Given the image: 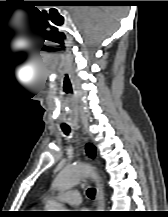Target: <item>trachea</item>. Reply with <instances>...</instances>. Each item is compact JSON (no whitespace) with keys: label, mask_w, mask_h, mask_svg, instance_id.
<instances>
[{"label":"trachea","mask_w":168,"mask_h":217,"mask_svg":"<svg viewBox=\"0 0 168 217\" xmlns=\"http://www.w3.org/2000/svg\"><path fill=\"white\" fill-rule=\"evenodd\" d=\"M62 131L68 135L70 133V128L69 127H62ZM95 194H96V190L94 188H89L87 190V196L90 198V199H94L95 198Z\"/></svg>","instance_id":"trachea-1"}]
</instances>
